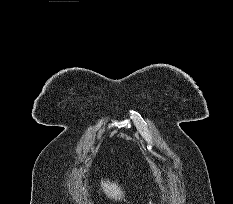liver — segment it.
I'll use <instances>...</instances> for the list:
<instances>
[{
    "instance_id": "liver-1",
    "label": "liver",
    "mask_w": 233,
    "mask_h": 204,
    "mask_svg": "<svg viewBox=\"0 0 233 204\" xmlns=\"http://www.w3.org/2000/svg\"><path fill=\"white\" fill-rule=\"evenodd\" d=\"M101 187L107 197L115 200H122L124 193L117 183L108 181H101Z\"/></svg>"
}]
</instances>
